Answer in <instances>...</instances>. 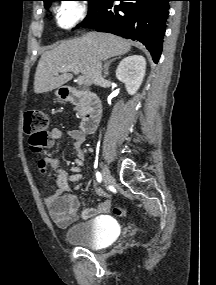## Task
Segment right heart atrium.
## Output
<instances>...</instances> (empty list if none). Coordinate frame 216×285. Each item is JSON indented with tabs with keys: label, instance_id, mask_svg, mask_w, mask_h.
Masks as SVG:
<instances>
[{
	"label": "right heart atrium",
	"instance_id": "right-heart-atrium-1",
	"mask_svg": "<svg viewBox=\"0 0 216 285\" xmlns=\"http://www.w3.org/2000/svg\"><path fill=\"white\" fill-rule=\"evenodd\" d=\"M87 8L83 2L65 1L56 10V20L63 29H70L86 16Z\"/></svg>",
	"mask_w": 216,
	"mask_h": 285
}]
</instances>
